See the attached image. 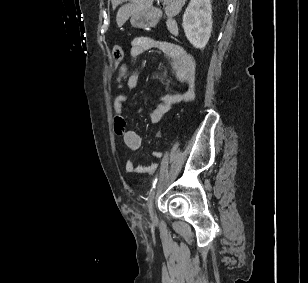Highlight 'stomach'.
Masks as SVG:
<instances>
[{
    "label": "stomach",
    "instance_id": "obj_1",
    "mask_svg": "<svg viewBox=\"0 0 308 283\" xmlns=\"http://www.w3.org/2000/svg\"><path fill=\"white\" fill-rule=\"evenodd\" d=\"M153 19L147 12L138 13L131 16L130 23L134 27H148L152 24Z\"/></svg>",
    "mask_w": 308,
    "mask_h": 283
}]
</instances>
